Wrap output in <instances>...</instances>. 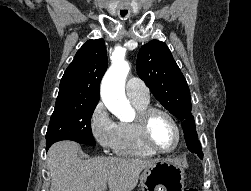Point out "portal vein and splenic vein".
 <instances>
[{"instance_id": "obj_1", "label": "portal vein and splenic vein", "mask_w": 251, "mask_h": 191, "mask_svg": "<svg viewBox=\"0 0 251 191\" xmlns=\"http://www.w3.org/2000/svg\"><path fill=\"white\" fill-rule=\"evenodd\" d=\"M97 191H102V189H105V185H98V187H96Z\"/></svg>"}]
</instances>
